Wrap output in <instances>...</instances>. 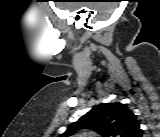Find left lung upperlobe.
Masks as SVG:
<instances>
[{"instance_id":"5c2ea615","label":"left lung upper lobe","mask_w":160,"mask_h":137,"mask_svg":"<svg viewBox=\"0 0 160 137\" xmlns=\"http://www.w3.org/2000/svg\"><path fill=\"white\" fill-rule=\"evenodd\" d=\"M139 127L135 114L119 102L96 106L82 116L61 136L67 137L80 129H92L104 137H132Z\"/></svg>"}]
</instances>
